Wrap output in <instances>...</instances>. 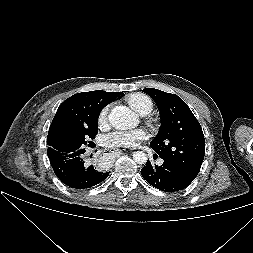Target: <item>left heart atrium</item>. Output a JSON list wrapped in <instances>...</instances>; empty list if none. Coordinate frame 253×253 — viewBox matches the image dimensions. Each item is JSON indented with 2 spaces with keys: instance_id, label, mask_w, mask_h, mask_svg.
Returning a JSON list of instances; mask_svg holds the SVG:
<instances>
[{
  "instance_id": "1",
  "label": "left heart atrium",
  "mask_w": 253,
  "mask_h": 253,
  "mask_svg": "<svg viewBox=\"0 0 253 253\" xmlns=\"http://www.w3.org/2000/svg\"><path fill=\"white\" fill-rule=\"evenodd\" d=\"M149 137L145 129L117 130L104 136L103 143L107 147H135Z\"/></svg>"
}]
</instances>
